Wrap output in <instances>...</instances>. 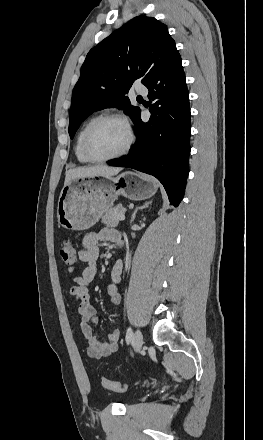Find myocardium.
<instances>
[{
	"label": "myocardium",
	"instance_id": "myocardium-1",
	"mask_svg": "<svg viewBox=\"0 0 263 440\" xmlns=\"http://www.w3.org/2000/svg\"><path fill=\"white\" fill-rule=\"evenodd\" d=\"M107 121L118 122L124 127L126 132V142L119 151L107 156H100L93 152L91 148V140L95 130ZM134 139L135 137L132 127L125 117L118 114H104L97 117L87 128L83 137L82 148L85 156L92 162H106L124 156L131 149Z\"/></svg>",
	"mask_w": 263,
	"mask_h": 440
}]
</instances>
